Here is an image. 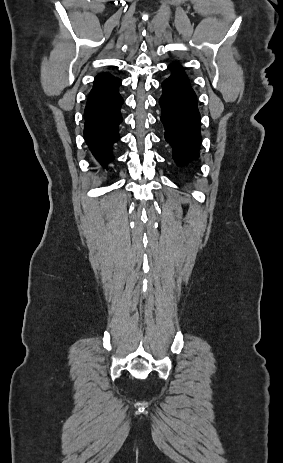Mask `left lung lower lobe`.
Returning a JSON list of instances; mask_svg holds the SVG:
<instances>
[{"label": "left lung lower lobe", "mask_w": 283, "mask_h": 463, "mask_svg": "<svg viewBox=\"0 0 283 463\" xmlns=\"http://www.w3.org/2000/svg\"><path fill=\"white\" fill-rule=\"evenodd\" d=\"M171 75L162 83L159 100L165 127V139L172 146L173 158L180 166H187L199 156L201 142L200 116L196 94L179 63L169 65Z\"/></svg>", "instance_id": "obj_1"}]
</instances>
